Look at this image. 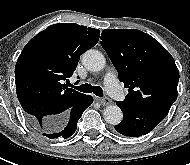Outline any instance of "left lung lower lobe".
I'll use <instances>...</instances> for the list:
<instances>
[{"label": "left lung lower lobe", "instance_id": "left-lung-lower-lobe-1", "mask_svg": "<svg viewBox=\"0 0 190 165\" xmlns=\"http://www.w3.org/2000/svg\"><path fill=\"white\" fill-rule=\"evenodd\" d=\"M116 104L123 112V120L114 128L120 134L129 137H138L149 133L166 116L162 113L133 109L119 102Z\"/></svg>", "mask_w": 190, "mask_h": 165}]
</instances>
